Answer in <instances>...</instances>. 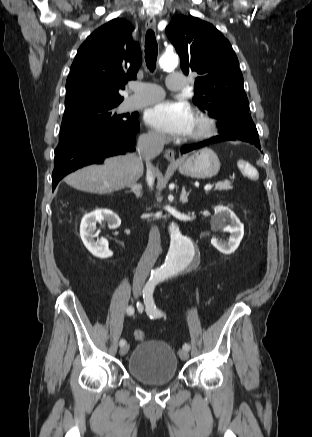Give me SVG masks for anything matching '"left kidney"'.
Returning a JSON list of instances; mask_svg holds the SVG:
<instances>
[{
  "label": "left kidney",
  "mask_w": 312,
  "mask_h": 437,
  "mask_svg": "<svg viewBox=\"0 0 312 437\" xmlns=\"http://www.w3.org/2000/svg\"><path fill=\"white\" fill-rule=\"evenodd\" d=\"M214 211L215 214L211 220V228L213 230L223 229L224 232L230 233V237L228 241H221L213 237L211 244L221 253L231 254L238 248L243 238L244 225L228 207L218 205L214 208Z\"/></svg>",
  "instance_id": "left-kidney-1"
}]
</instances>
